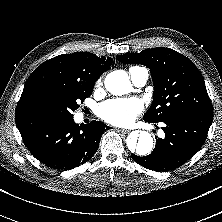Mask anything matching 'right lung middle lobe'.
I'll return each mask as SVG.
<instances>
[{
    "mask_svg": "<svg viewBox=\"0 0 222 222\" xmlns=\"http://www.w3.org/2000/svg\"><path fill=\"white\" fill-rule=\"evenodd\" d=\"M93 87L94 84L78 83L49 85L36 95L33 111H43L72 118V112L79 108V102H83L91 95Z\"/></svg>",
    "mask_w": 222,
    "mask_h": 222,
    "instance_id": "1",
    "label": "right lung middle lobe"
}]
</instances>
